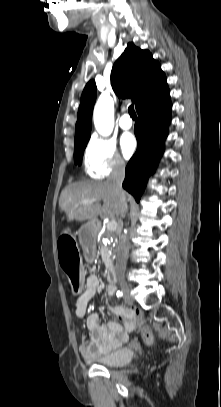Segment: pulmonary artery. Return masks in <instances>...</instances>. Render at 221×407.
I'll list each match as a JSON object with an SVG mask.
<instances>
[{
  "mask_svg": "<svg viewBox=\"0 0 221 407\" xmlns=\"http://www.w3.org/2000/svg\"><path fill=\"white\" fill-rule=\"evenodd\" d=\"M119 125L124 130L130 129L133 126L131 117L127 113H124L119 120Z\"/></svg>",
  "mask_w": 221,
  "mask_h": 407,
  "instance_id": "1",
  "label": "pulmonary artery"
}]
</instances>
